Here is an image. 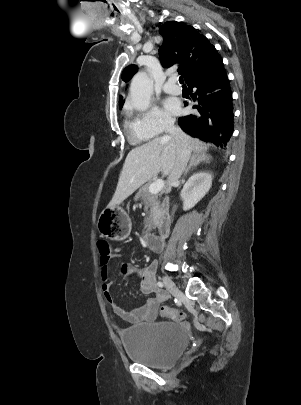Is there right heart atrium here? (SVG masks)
Returning a JSON list of instances; mask_svg holds the SVG:
<instances>
[{"label": "right heart atrium", "instance_id": "obj_1", "mask_svg": "<svg viewBox=\"0 0 301 405\" xmlns=\"http://www.w3.org/2000/svg\"><path fill=\"white\" fill-rule=\"evenodd\" d=\"M136 118L142 129L152 136L163 133L174 123L173 117L157 106L139 113Z\"/></svg>", "mask_w": 301, "mask_h": 405}]
</instances>
